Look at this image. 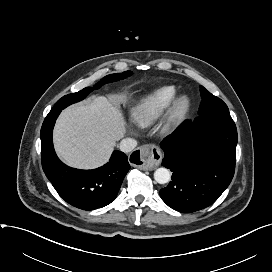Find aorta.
<instances>
[{"label":"aorta","instance_id":"762f6f07","mask_svg":"<svg viewBox=\"0 0 272 272\" xmlns=\"http://www.w3.org/2000/svg\"><path fill=\"white\" fill-rule=\"evenodd\" d=\"M154 179L159 184H166L171 179L170 171L168 169L164 168V167L158 168L154 172Z\"/></svg>","mask_w":272,"mask_h":272}]
</instances>
